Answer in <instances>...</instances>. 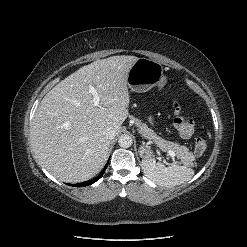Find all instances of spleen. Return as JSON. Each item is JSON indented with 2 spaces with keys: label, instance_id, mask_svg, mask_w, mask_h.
I'll return each mask as SVG.
<instances>
[{
  "label": "spleen",
  "instance_id": "3e777b00",
  "mask_svg": "<svg viewBox=\"0 0 247 247\" xmlns=\"http://www.w3.org/2000/svg\"><path fill=\"white\" fill-rule=\"evenodd\" d=\"M142 168L144 174L156 182L160 186L173 187L189 181L193 175L194 170L187 165H178L174 163L166 167L161 162H156L152 159H144L142 161Z\"/></svg>",
  "mask_w": 247,
  "mask_h": 247
}]
</instances>
